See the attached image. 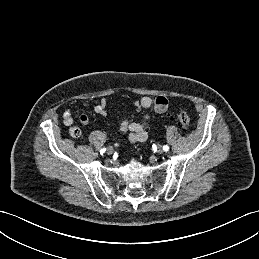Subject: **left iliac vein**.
I'll list each match as a JSON object with an SVG mask.
<instances>
[{
  "label": "left iliac vein",
  "mask_w": 259,
  "mask_h": 259,
  "mask_svg": "<svg viewBox=\"0 0 259 259\" xmlns=\"http://www.w3.org/2000/svg\"><path fill=\"white\" fill-rule=\"evenodd\" d=\"M164 152V149L162 146H158L157 153L162 154Z\"/></svg>",
  "instance_id": "4c4485c4"
}]
</instances>
